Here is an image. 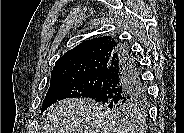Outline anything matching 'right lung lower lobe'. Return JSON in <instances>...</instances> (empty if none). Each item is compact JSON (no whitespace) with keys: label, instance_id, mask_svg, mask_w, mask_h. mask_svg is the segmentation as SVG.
Returning a JSON list of instances; mask_svg holds the SVG:
<instances>
[{"label":"right lung lower lobe","instance_id":"right-lung-lower-lobe-1","mask_svg":"<svg viewBox=\"0 0 184 133\" xmlns=\"http://www.w3.org/2000/svg\"><path fill=\"white\" fill-rule=\"evenodd\" d=\"M102 78V87L93 98L100 104L130 105L146 97L138 63L131 50L120 43Z\"/></svg>","mask_w":184,"mask_h":133}]
</instances>
